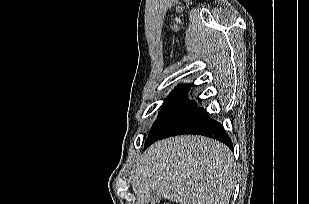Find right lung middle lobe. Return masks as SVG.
<instances>
[{"instance_id": "obj_1", "label": "right lung middle lobe", "mask_w": 309, "mask_h": 204, "mask_svg": "<svg viewBox=\"0 0 309 204\" xmlns=\"http://www.w3.org/2000/svg\"><path fill=\"white\" fill-rule=\"evenodd\" d=\"M158 119L155 121L149 137L145 143L147 147L150 143L161 136L168 128L180 120L184 115L189 113L194 104L164 103Z\"/></svg>"}]
</instances>
